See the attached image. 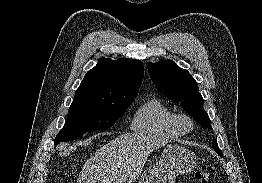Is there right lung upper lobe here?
Listing matches in <instances>:
<instances>
[{"label":"right lung upper lobe","mask_w":262,"mask_h":183,"mask_svg":"<svg viewBox=\"0 0 262 183\" xmlns=\"http://www.w3.org/2000/svg\"><path fill=\"white\" fill-rule=\"evenodd\" d=\"M143 76L144 66L139 60L100 58L98 64L85 75L75 97L135 99Z\"/></svg>","instance_id":"cb5924a9"}]
</instances>
